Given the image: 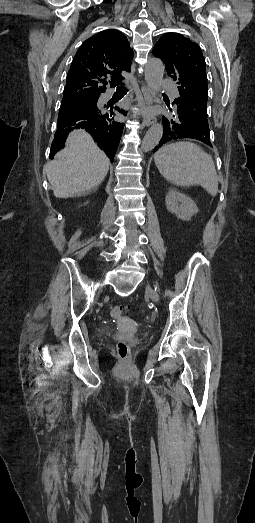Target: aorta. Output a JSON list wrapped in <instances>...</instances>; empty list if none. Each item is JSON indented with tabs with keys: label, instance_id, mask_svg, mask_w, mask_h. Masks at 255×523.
<instances>
[{
	"label": "aorta",
	"instance_id": "obj_1",
	"mask_svg": "<svg viewBox=\"0 0 255 523\" xmlns=\"http://www.w3.org/2000/svg\"><path fill=\"white\" fill-rule=\"evenodd\" d=\"M164 64L158 58L150 59L145 66V79L148 86L155 92H159L162 87ZM163 135V126L161 123L154 124L145 134L141 150L143 152L151 151L156 145H158Z\"/></svg>",
	"mask_w": 255,
	"mask_h": 523
}]
</instances>
